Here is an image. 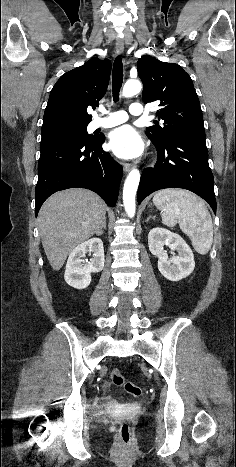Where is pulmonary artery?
Instances as JSON below:
<instances>
[{
	"label": "pulmonary artery",
	"mask_w": 236,
	"mask_h": 467,
	"mask_svg": "<svg viewBox=\"0 0 236 467\" xmlns=\"http://www.w3.org/2000/svg\"><path fill=\"white\" fill-rule=\"evenodd\" d=\"M129 112L133 116H141L143 115V107L140 103H133L130 106ZM128 115L125 111L119 110L115 112H109L106 117L104 118H96L92 122V128H109L127 121Z\"/></svg>",
	"instance_id": "obj_1"
}]
</instances>
